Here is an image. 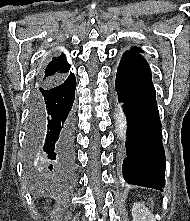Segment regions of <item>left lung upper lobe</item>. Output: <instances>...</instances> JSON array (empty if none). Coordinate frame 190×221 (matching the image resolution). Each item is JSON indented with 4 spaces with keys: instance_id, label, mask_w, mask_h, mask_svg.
<instances>
[{
    "instance_id": "1",
    "label": "left lung upper lobe",
    "mask_w": 190,
    "mask_h": 221,
    "mask_svg": "<svg viewBox=\"0 0 190 221\" xmlns=\"http://www.w3.org/2000/svg\"><path fill=\"white\" fill-rule=\"evenodd\" d=\"M139 52H142V50L140 48L133 47V49L126 51L124 54H128L131 56H135V57L144 59L143 56L141 54H139Z\"/></svg>"
}]
</instances>
